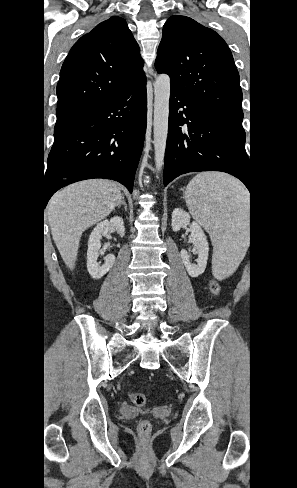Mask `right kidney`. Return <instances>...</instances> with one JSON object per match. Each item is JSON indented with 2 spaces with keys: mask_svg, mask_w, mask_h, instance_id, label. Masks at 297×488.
Instances as JSON below:
<instances>
[{
  "mask_svg": "<svg viewBox=\"0 0 297 488\" xmlns=\"http://www.w3.org/2000/svg\"><path fill=\"white\" fill-rule=\"evenodd\" d=\"M110 230H116L121 237L125 235L124 222L120 216H114L110 220L105 219L97 224L88 240L87 269L94 279L103 277L115 263V256L113 254H108L105 257V263L102 266L97 262L99 256L98 251L101 248L100 240Z\"/></svg>",
  "mask_w": 297,
  "mask_h": 488,
  "instance_id": "right-kidney-1",
  "label": "right kidney"
}]
</instances>
